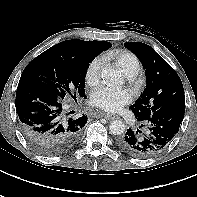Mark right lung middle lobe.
I'll list each match as a JSON object with an SVG mask.
<instances>
[{
	"mask_svg": "<svg viewBox=\"0 0 197 197\" xmlns=\"http://www.w3.org/2000/svg\"><path fill=\"white\" fill-rule=\"evenodd\" d=\"M111 46V43L91 46L75 58L61 54L52 46L26 66L20 80H30L47 86L61 102L69 96L73 97L74 91L83 97L89 64Z\"/></svg>",
	"mask_w": 197,
	"mask_h": 197,
	"instance_id": "obj_1",
	"label": "right lung middle lobe"
}]
</instances>
